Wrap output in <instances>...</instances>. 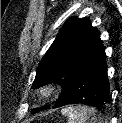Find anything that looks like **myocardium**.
I'll return each instance as SVG.
<instances>
[{"label":"myocardium","mask_w":122,"mask_h":123,"mask_svg":"<svg viewBox=\"0 0 122 123\" xmlns=\"http://www.w3.org/2000/svg\"><path fill=\"white\" fill-rule=\"evenodd\" d=\"M58 92V86L54 82L43 85L40 89V95L44 99L53 98Z\"/></svg>","instance_id":"f54148a6"}]
</instances>
